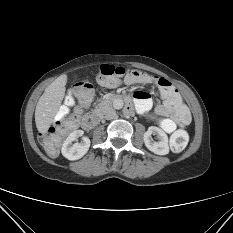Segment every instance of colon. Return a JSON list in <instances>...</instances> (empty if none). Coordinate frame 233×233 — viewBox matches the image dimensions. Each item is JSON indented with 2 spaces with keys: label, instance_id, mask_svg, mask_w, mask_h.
<instances>
[{
  "label": "colon",
  "instance_id": "1",
  "mask_svg": "<svg viewBox=\"0 0 233 233\" xmlns=\"http://www.w3.org/2000/svg\"><path fill=\"white\" fill-rule=\"evenodd\" d=\"M147 75L146 72L127 69L110 64H102L98 69V82L106 87H115L122 82H134L135 80ZM156 85L159 93L168 99L172 106L179 108L180 94L170 81L157 77ZM93 86L88 80H81L68 93L64 106L58 112L54 125L43 135L40 140L47 152L55 155L58 152L62 139L76 128L78 122V110L71 112L75 101L81 105L83 102L92 98ZM176 119L181 118L179 109L174 113ZM189 136L184 130L176 131L171 139L170 146L175 152L182 151L188 144Z\"/></svg>",
  "mask_w": 233,
  "mask_h": 233
}]
</instances>
